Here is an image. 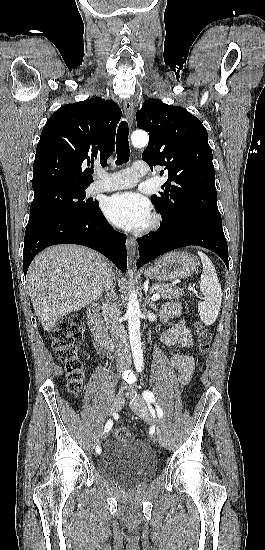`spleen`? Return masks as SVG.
I'll use <instances>...</instances> for the list:
<instances>
[{
    "mask_svg": "<svg viewBox=\"0 0 265 550\" xmlns=\"http://www.w3.org/2000/svg\"><path fill=\"white\" fill-rule=\"evenodd\" d=\"M198 255L203 265L200 289L205 297L203 302L198 303V311L203 323L209 326L215 322L219 314L223 294L211 260L201 251H198Z\"/></svg>",
    "mask_w": 265,
    "mask_h": 550,
    "instance_id": "spleen-1",
    "label": "spleen"
}]
</instances>
